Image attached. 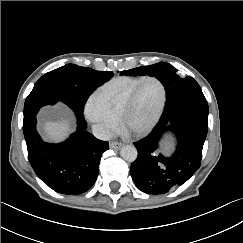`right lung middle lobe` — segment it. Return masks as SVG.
Masks as SVG:
<instances>
[{
    "label": "right lung middle lobe",
    "mask_w": 243,
    "mask_h": 243,
    "mask_svg": "<svg viewBox=\"0 0 243 243\" xmlns=\"http://www.w3.org/2000/svg\"><path fill=\"white\" fill-rule=\"evenodd\" d=\"M112 75L111 71L66 64L43 75L32 91L57 93L83 109L91 93Z\"/></svg>",
    "instance_id": "1"
}]
</instances>
